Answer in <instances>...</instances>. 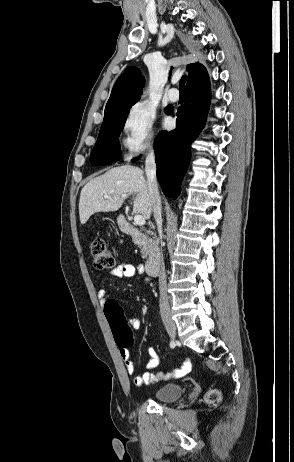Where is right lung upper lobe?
Listing matches in <instances>:
<instances>
[{
    "label": "right lung upper lobe",
    "mask_w": 294,
    "mask_h": 462,
    "mask_svg": "<svg viewBox=\"0 0 294 462\" xmlns=\"http://www.w3.org/2000/svg\"><path fill=\"white\" fill-rule=\"evenodd\" d=\"M188 73L187 85L207 74L202 64L194 63L186 67ZM144 78L137 67L127 68L116 81L110 98L105 107L104 118L123 113L131 108L140 98Z\"/></svg>",
    "instance_id": "obj_1"
}]
</instances>
